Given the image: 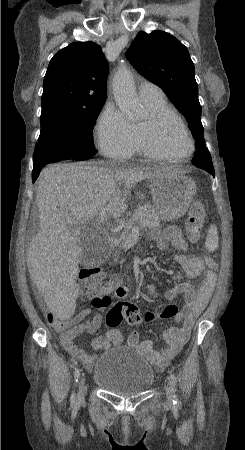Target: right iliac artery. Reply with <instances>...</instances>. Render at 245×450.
Segmentation results:
<instances>
[{"label": "right iliac artery", "mask_w": 245, "mask_h": 450, "mask_svg": "<svg viewBox=\"0 0 245 450\" xmlns=\"http://www.w3.org/2000/svg\"><path fill=\"white\" fill-rule=\"evenodd\" d=\"M79 376H80V369H76L75 373H74V378H75L76 382L78 381ZM75 405H76V397H75V393H72V395H71V406L73 407Z\"/></svg>", "instance_id": "right-iliac-artery-1"}]
</instances>
